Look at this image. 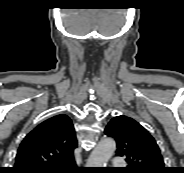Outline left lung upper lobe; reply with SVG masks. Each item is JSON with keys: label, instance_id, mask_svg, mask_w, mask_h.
Masks as SVG:
<instances>
[{"label": "left lung upper lobe", "instance_id": "1", "mask_svg": "<svg viewBox=\"0 0 184 173\" xmlns=\"http://www.w3.org/2000/svg\"><path fill=\"white\" fill-rule=\"evenodd\" d=\"M105 134L117 143L116 155L124 157L125 173H166L155 139L134 119L121 115L106 126Z\"/></svg>", "mask_w": 184, "mask_h": 173}]
</instances>
